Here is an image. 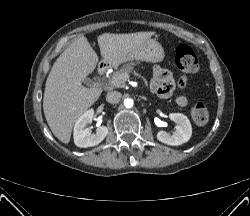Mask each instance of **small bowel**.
I'll list each match as a JSON object with an SVG mask.
<instances>
[{
  "mask_svg": "<svg viewBox=\"0 0 250 216\" xmlns=\"http://www.w3.org/2000/svg\"><path fill=\"white\" fill-rule=\"evenodd\" d=\"M180 85H185V81L183 79L180 80ZM151 87L160 97L167 98L172 94L175 82L170 72L156 67L153 71ZM176 103L179 106H185L187 104V99L180 96L176 99Z\"/></svg>",
  "mask_w": 250,
  "mask_h": 216,
  "instance_id": "small-bowel-1",
  "label": "small bowel"
}]
</instances>
